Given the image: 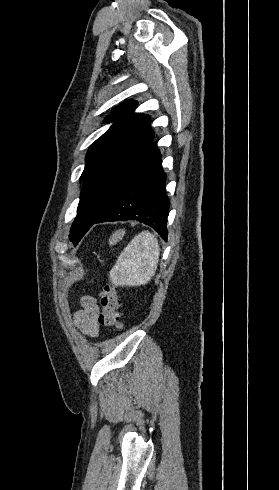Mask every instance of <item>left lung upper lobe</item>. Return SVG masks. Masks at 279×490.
Wrapping results in <instances>:
<instances>
[{"mask_svg": "<svg viewBox=\"0 0 279 490\" xmlns=\"http://www.w3.org/2000/svg\"><path fill=\"white\" fill-rule=\"evenodd\" d=\"M137 102L114 108L106 122L115 121L86 155L77 216L69 239L74 246L111 207L116 195L154 139L149 115L133 113Z\"/></svg>", "mask_w": 279, "mask_h": 490, "instance_id": "1", "label": "left lung upper lobe"}]
</instances>
